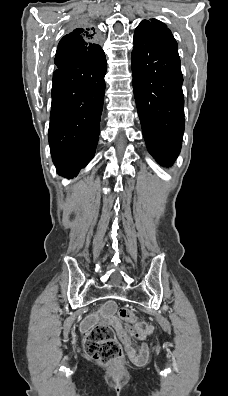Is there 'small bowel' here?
<instances>
[{
	"label": "small bowel",
	"mask_w": 228,
	"mask_h": 396,
	"mask_svg": "<svg viewBox=\"0 0 228 396\" xmlns=\"http://www.w3.org/2000/svg\"><path fill=\"white\" fill-rule=\"evenodd\" d=\"M103 317L106 318L109 323L115 328L117 331L120 339L122 340L128 357L130 360L136 365H142L146 362L148 357V348L147 344L144 341L145 334L136 333L137 338L139 339L140 343L138 347H134L131 344L130 338L128 336L127 331L121 325L120 320L118 317L114 315V304L108 303L104 310H103Z\"/></svg>",
	"instance_id": "c3829d8e"
}]
</instances>
